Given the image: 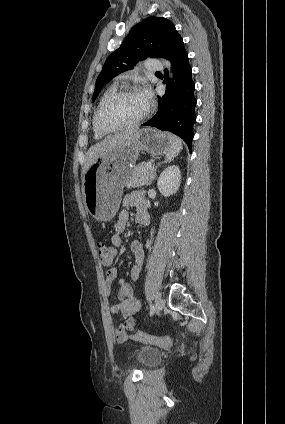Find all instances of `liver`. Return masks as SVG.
<instances>
[{"mask_svg": "<svg viewBox=\"0 0 285 424\" xmlns=\"http://www.w3.org/2000/svg\"><path fill=\"white\" fill-rule=\"evenodd\" d=\"M138 132V128H132L122 133L109 136L103 141L92 146L87 152L85 163L83 167V176L89 167L105 152L113 150L125 144L128 140L132 139Z\"/></svg>", "mask_w": 285, "mask_h": 424, "instance_id": "liver-1", "label": "liver"}]
</instances>
